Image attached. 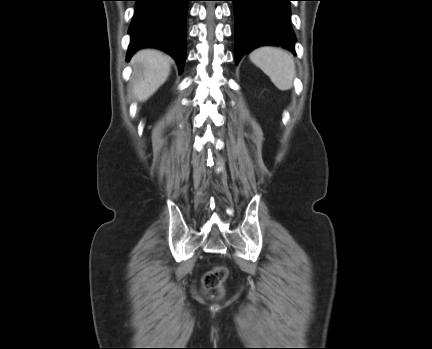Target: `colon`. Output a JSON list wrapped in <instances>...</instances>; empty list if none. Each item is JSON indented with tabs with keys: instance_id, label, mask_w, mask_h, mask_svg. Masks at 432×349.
<instances>
[{
	"instance_id": "5ec220e1",
	"label": "colon",
	"mask_w": 432,
	"mask_h": 349,
	"mask_svg": "<svg viewBox=\"0 0 432 349\" xmlns=\"http://www.w3.org/2000/svg\"><path fill=\"white\" fill-rule=\"evenodd\" d=\"M227 269L216 266L208 271L203 277V288L210 297L217 298L223 292V283L227 278Z\"/></svg>"
}]
</instances>
